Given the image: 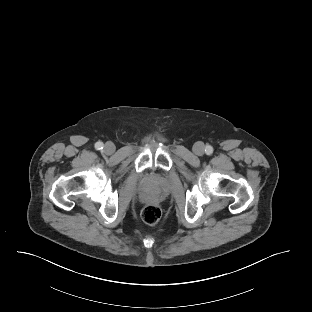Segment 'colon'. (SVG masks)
Listing matches in <instances>:
<instances>
[{
    "label": "colon",
    "instance_id": "obj_1",
    "mask_svg": "<svg viewBox=\"0 0 312 312\" xmlns=\"http://www.w3.org/2000/svg\"><path fill=\"white\" fill-rule=\"evenodd\" d=\"M141 216L146 224L154 226L161 219V208L156 204H148L143 208Z\"/></svg>",
    "mask_w": 312,
    "mask_h": 312
}]
</instances>
